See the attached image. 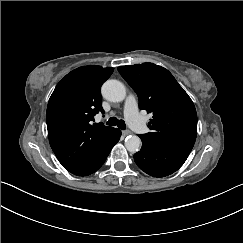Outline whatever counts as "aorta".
I'll use <instances>...</instances> for the list:
<instances>
[{
  "mask_svg": "<svg viewBox=\"0 0 243 243\" xmlns=\"http://www.w3.org/2000/svg\"><path fill=\"white\" fill-rule=\"evenodd\" d=\"M102 96L111 102H121L126 96L125 86L118 80H107L101 89ZM125 147L129 152L135 153L141 147V140L136 135L127 136Z\"/></svg>",
  "mask_w": 243,
  "mask_h": 243,
  "instance_id": "aorta-1",
  "label": "aorta"
}]
</instances>
